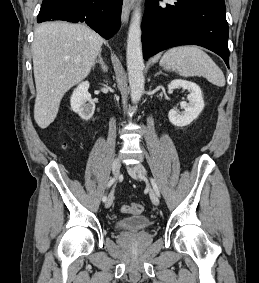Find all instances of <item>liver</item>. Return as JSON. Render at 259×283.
Masks as SVG:
<instances>
[{"label":"liver","instance_id":"obj_1","mask_svg":"<svg viewBox=\"0 0 259 283\" xmlns=\"http://www.w3.org/2000/svg\"><path fill=\"white\" fill-rule=\"evenodd\" d=\"M102 44V37L85 24L57 21L37 27L32 57L34 119L40 128L55 120L64 94L88 76Z\"/></svg>","mask_w":259,"mask_h":283}]
</instances>
